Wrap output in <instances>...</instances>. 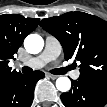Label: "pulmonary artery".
I'll use <instances>...</instances> for the list:
<instances>
[{
	"instance_id": "obj_1",
	"label": "pulmonary artery",
	"mask_w": 107,
	"mask_h": 107,
	"mask_svg": "<svg viewBox=\"0 0 107 107\" xmlns=\"http://www.w3.org/2000/svg\"><path fill=\"white\" fill-rule=\"evenodd\" d=\"M61 52V45L56 38L53 36H47L45 41V47L42 53L28 61V65L33 68H41L48 62L55 60ZM72 76L77 78L79 71L75 70L72 72Z\"/></svg>"
}]
</instances>
